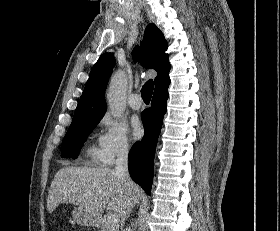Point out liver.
Masks as SVG:
<instances>
[{"label": "liver", "instance_id": "6515ba94", "mask_svg": "<svg viewBox=\"0 0 280 231\" xmlns=\"http://www.w3.org/2000/svg\"><path fill=\"white\" fill-rule=\"evenodd\" d=\"M142 193L134 181L129 185L109 167L66 165L57 171L50 185L47 209L54 211L59 203H74L99 221L107 205L124 221Z\"/></svg>", "mask_w": 280, "mask_h": 231}]
</instances>
